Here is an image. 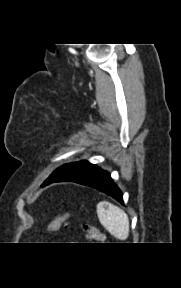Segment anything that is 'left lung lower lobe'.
<instances>
[{"label": "left lung lower lobe", "instance_id": "1", "mask_svg": "<svg viewBox=\"0 0 181 288\" xmlns=\"http://www.w3.org/2000/svg\"><path fill=\"white\" fill-rule=\"evenodd\" d=\"M51 183H53V182H44L41 187H44V186L49 185ZM77 183L96 188V189L106 193L107 195L112 196L118 202H120L122 205H124L123 194H122L121 190L114 183L110 174L105 170L99 169L96 172H94L92 175L82 179L81 181H79Z\"/></svg>", "mask_w": 181, "mask_h": 288}]
</instances>
